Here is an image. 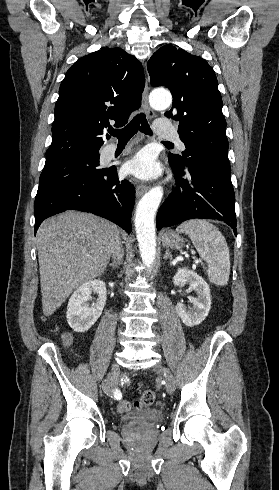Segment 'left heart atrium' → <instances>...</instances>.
I'll use <instances>...</instances> for the list:
<instances>
[{
	"label": "left heart atrium",
	"instance_id": "1",
	"mask_svg": "<svg viewBox=\"0 0 279 490\" xmlns=\"http://www.w3.org/2000/svg\"><path fill=\"white\" fill-rule=\"evenodd\" d=\"M125 172L140 181H152L157 179L162 173L160 163L153 154L147 150H142L133 158L128 160L124 166Z\"/></svg>",
	"mask_w": 279,
	"mask_h": 490
}]
</instances>
